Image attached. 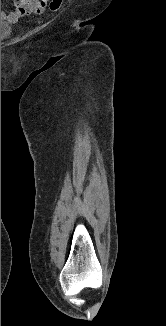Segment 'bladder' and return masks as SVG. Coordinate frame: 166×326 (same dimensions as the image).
I'll return each instance as SVG.
<instances>
[{
	"instance_id": "31cf9c89",
	"label": "bladder",
	"mask_w": 166,
	"mask_h": 326,
	"mask_svg": "<svg viewBox=\"0 0 166 326\" xmlns=\"http://www.w3.org/2000/svg\"><path fill=\"white\" fill-rule=\"evenodd\" d=\"M12 32V25L4 20H1V40L7 39Z\"/></svg>"
}]
</instances>
